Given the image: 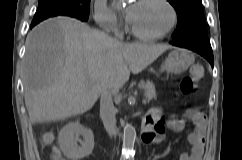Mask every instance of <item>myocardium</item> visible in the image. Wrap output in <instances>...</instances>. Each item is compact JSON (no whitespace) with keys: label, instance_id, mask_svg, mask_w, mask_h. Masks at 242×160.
<instances>
[{"label":"myocardium","instance_id":"f54148a6","mask_svg":"<svg viewBox=\"0 0 242 160\" xmlns=\"http://www.w3.org/2000/svg\"><path fill=\"white\" fill-rule=\"evenodd\" d=\"M162 3H164L170 10L171 12V23L170 25L161 33L158 34H153V35H147V34H142L140 32H138L130 23V21L128 20L127 24H128V29L129 32L136 38L140 39V40H144V41H155V40H159L164 38L165 36H167L168 34H170L174 28L176 27L177 23H178V12L176 7L173 5V3L170 0H160Z\"/></svg>","mask_w":242,"mask_h":160}]
</instances>
